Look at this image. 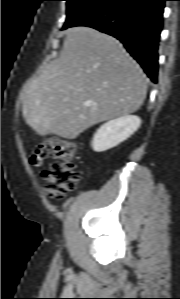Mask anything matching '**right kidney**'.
I'll return each mask as SVG.
<instances>
[{"label": "right kidney", "instance_id": "ca27d5eb", "mask_svg": "<svg viewBox=\"0 0 180 299\" xmlns=\"http://www.w3.org/2000/svg\"><path fill=\"white\" fill-rule=\"evenodd\" d=\"M141 125L135 115H126L103 124L94 134L92 148L96 152L111 149L129 138Z\"/></svg>", "mask_w": 180, "mask_h": 299}]
</instances>
